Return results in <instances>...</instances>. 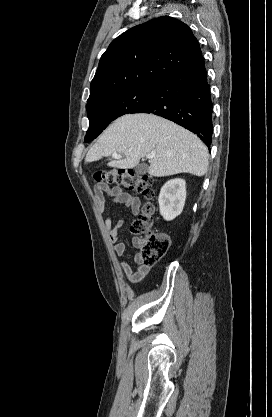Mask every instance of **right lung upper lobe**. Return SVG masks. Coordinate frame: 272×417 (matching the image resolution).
I'll use <instances>...</instances> for the list:
<instances>
[{
  "mask_svg": "<svg viewBox=\"0 0 272 417\" xmlns=\"http://www.w3.org/2000/svg\"><path fill=\"white\" fill-rule=\"evenodd\" d=\"M201 55L191 29L175 18L163 16L135 26L101 56L87 102L130 87L160 85Z\"/></svg>",
  "mask_w": 272,
  "mask_h": 417,
  "instance_id": "1",
  "label": "right lung upper lobe"
}]
</instances>
